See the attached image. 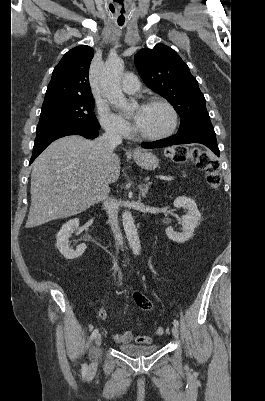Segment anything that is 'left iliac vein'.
Instances as JSON below:
<instances>
[{"mask_svg": "<svg viewBox=\"0 0 265 401\" xmlns=\"http://www.w3.org/2000/svg\"><path fill=\"white\" fill-rule=\"evenodd\" d=\"M172 334L175 337V339L179 338V330H178V328L176 326L172 327Z\"/></svg>", "mask_w": 265, "mask_h": 401, "instance_id": "obj_1", "label": "left iliac vein"}]
</instances>
